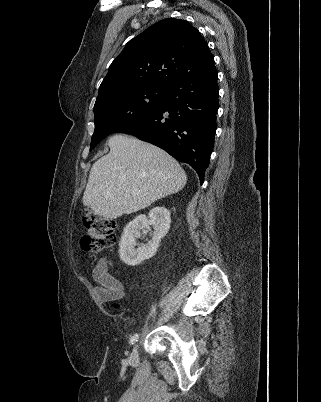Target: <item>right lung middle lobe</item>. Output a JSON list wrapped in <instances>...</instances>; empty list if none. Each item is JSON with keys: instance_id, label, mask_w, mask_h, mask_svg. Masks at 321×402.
<instances>
[{"instance_id": "obj_1", "label": "right lung middle lobe", "mask_w": 321, "mask_h": 402, "mask_svg": "<svg viewBox=\"0 0 321 402\" xmlns=\"http://www.w3.org/2000/svg\"><path fill=\"white\" fill-rule=\"evenodd\" d=\"M164 87H146L111 95L94 105L95 130L90 151L106 136L160 107Z\"/></svg>"}]
</instances>
